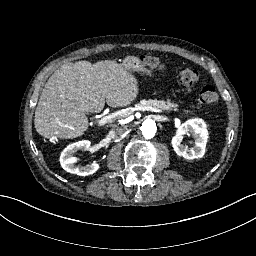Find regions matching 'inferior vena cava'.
Wrapping results in <instances>:
<instances>
[{"mask_svg":"<svg viewBox=\"0 0 256 256\" xmlns=\"http://www.w3.org/2000/svg\"><path fill=\"white\" fill-rule=\"evenodd\" d=\"M127 127L126 126H123V127H114L110 132H109V135L111 138L115 139V138H118L122 135H124L127 131Z\"/></svg>","mask_w":256,"mask_h":256,"instance_id":"1","label":"inferior vena cava"}]
</instances>
